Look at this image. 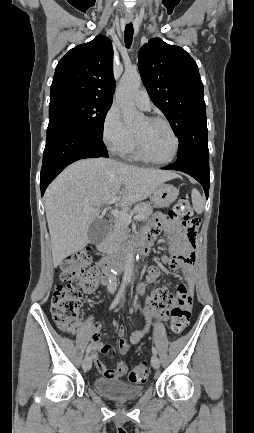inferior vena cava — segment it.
I'll return each mask as SVG.
<instances>
[{"label": "inferior vena cava", "mask_w": 254, "mask_h": 433, "mask_svg": "<svg viewBox=\"0 0 254 433\" xmlns=\"http://www.w3.org/2000/svg\"><path fill=\"white\" fill-rule=\"evenodd\" d=\"M109 278L111 280L112 285L109 286L108 288L109 289L115 288L116 287V283H115L116 282V277L114 275H110Z\"/></svg>", "instance_id": "1"}]
</instances>
